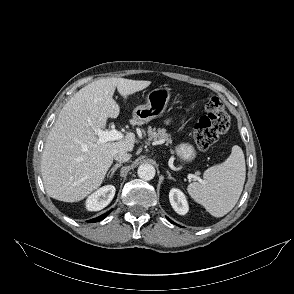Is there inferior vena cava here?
I'll return each mask as SVG.
<instances>
[{
	"mask_svg": "<svg viewBox=\"0 0 294 294\" xmlns=\"http://www.w3.org/2000/svg\"><path fill=\"white\" fill-rule=\"evenodd\" d=\"M114 159L120 163L127 162L131 159V154L121 151L115 154Z\"/></svg>",
	"mask_w": 294,
	"mask_h": 294,
	"instance_id": "inferior-vena-cava-1",
	"label": "inferior vena cava"
}]
</instances>
